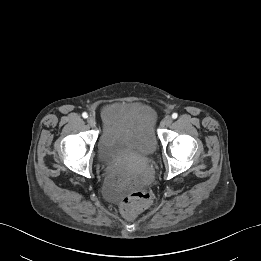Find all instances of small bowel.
I'll return each mask as SVG.
<instances>
[{"mask_svg":"<svg viewBox=\"0 0 261 261\" xmlns=\"http://www.w3.org/2000/svg\"><path fill=\"white\" fill-rule=\"evenodd\" d=\"M105 133L113 134L121 129L139 130L154 123L153 112L142 104L110 103L102 109Z\"/></svg>","mask_w":261,"mask_h":261,"instance_id":"obj_1","label":"small bowel"}]
</instances>
